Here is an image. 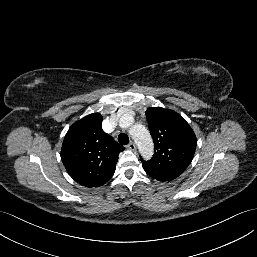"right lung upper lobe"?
I'll return each instance as SVG.
<instances>
[{"instance_id":"cb5924a9","label":"right lung upper lobe","mask_w":257,"mask_h":257,"mask_svg":"<svg viewBox=\"0 0 257 257\" xmlns=\"http://www.w3.org/2000/svg\"><path fill=\"white\" fill-rule=\"evenodd\" d=\"M101 125V114L85 116L71 125L61 149V159L69 175L89 188L110 180L118 155L124 150Z\"/></svg>"}]
</instances>
